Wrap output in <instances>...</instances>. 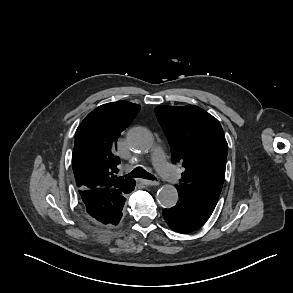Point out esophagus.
<instances>
[{"mask_svg":"<svg viewBox=\"0 0 293 293\" xmlns=\"http://www.w3.org/2000/svg\"><path fill=\"white\" fill-rule=\"evenodd\" d=\"M140 182L142 184H144L145 186H155V185L159 184L158 181H151V180H147V179H141Z\"/></svg>","mask_w":293,"mask_h":293,"instance_id":"esophagus-1","label":"esophagus"}]
</instances>
